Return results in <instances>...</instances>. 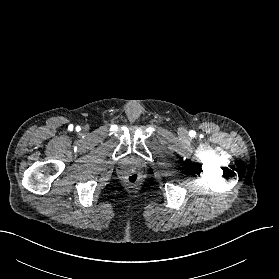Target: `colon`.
<instances>
[{
	"mask_svg": "<svg viewBox=\"0 0 279 279\" xmlns=\"http://www.w3.org/2000/svg\"><path fill=\"white\" fill-rule=\"evenodd\" d=\"M126 181L130 185H135L139 181V176L136 173H131L126 177Z\"/></svg>",
	"mask_w": 279,
	"mask_h": 279,
	"instance_id": "obj_1",
	"label": "colon"
}]
</instances>
